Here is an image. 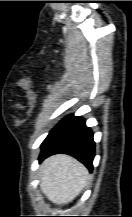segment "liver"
I'll use <instances>...</instances> for the list:
<instances>
[{
    "mask_svg": "<svg viewBox=\"0 0 132 217\" xmlns=\"http://www.w3.org/2000/svg\"><path fill=\"white\" fill-rule=\"evenodd\" d=\"M88 169L75 158L58 154L41 165L40 188L54 204H68L88 184Z\"/></svg>",
    "mask_w": 132,
    "mask_h": 217,
    "instance_id": "liver-1",
    "label": "liver"
}]
</instances>
